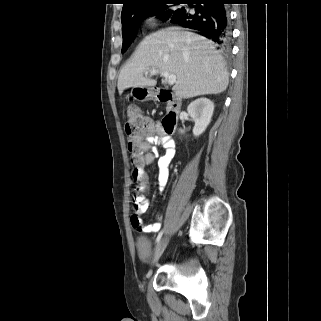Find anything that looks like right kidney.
<instances>
[{"instance_id": "right-kidney-1", "label": "right kidney", "mask_w": 321, "mask_h": 321, "mask_svg": "<svg viewBox=\"0 0 321 321\" xmlns=\"http://www.w3.org/2000/svg\"><path fill=\"white\" fill-rule=\"evenodd\" d=\"M214 111V103L207 98H198L187 108L189 116L194 120L193 135L200 136L208 127ZM183 133V130H180Z\"/></svg>"}]
</instances>
